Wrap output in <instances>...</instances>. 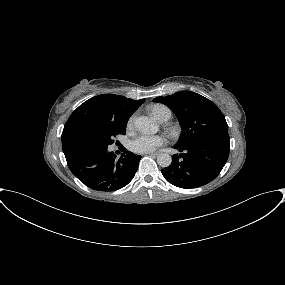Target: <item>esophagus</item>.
<instances>
[{
    "label": "esophagus",
    "instance_id": "34e87169",
    "mask_svg": "<svg viewBox=\"0 0 285 285\" xmlns=\"http://www.w3.org/2000/svg\"><path fill=\"white\" fill-rule=\"evenodd\" d=\"M160 153L159 152H153V153H148L147 155L149 156H158Z\"/></svg>",
    "mask_w": 285,
    "mask_h": 285
}]
</instances>
